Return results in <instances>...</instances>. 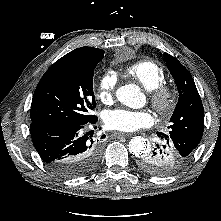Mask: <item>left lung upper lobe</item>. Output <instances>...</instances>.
Masks as SVG:
<instances>
[{
    "label": "left lung upper lobe",
    "instance_id": "left-lung-upper-lobe-1",
    "mask_svg": "<svg viewBox=\"0 0 221 221\" xmlns=\"http://www.w3.org/2000/svg\"><path fill=\"white\" fill-rule=\"evenodd\" d=\"M164 59L179 92L178 103L170 119L167 135L179 154L190 160L203 136L202 101L188 70L167 53L164 54Z\"/></svg>",
    "mask_w": 221,
    "mask_h": 221
}]
</instances>
